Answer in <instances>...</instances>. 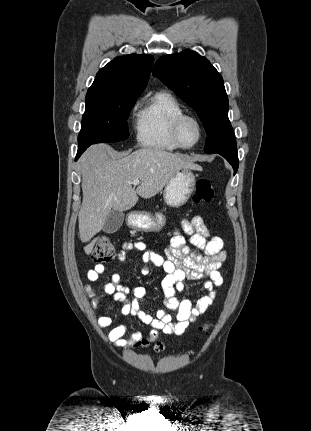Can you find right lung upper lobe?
<instances>
[{
    "label": "right lung upper lobe",
    "mask_w": 311,
    "mask_h": 431,
    "mask_svg": "<svg viewBox=\"0 0 311 431\" xmlns=\"http://www.w3.org/2000/svg\"><path fill=\"white\" fill-rule=\"evenodd\" d=\"M154 59L151 55L117 57L97 73L87 94L139 96L147 85Z\"/></svg>",
    "instance_id": "cb5924a9"
}]
</instances>
